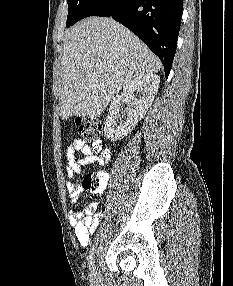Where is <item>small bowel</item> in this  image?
I'll use <instances>...</instances> for the list:
<instances>
[{
    "label": "small bowel",
    "instance_id": "obj_1",
    "mask_svg": "<svg viewBox=\"0 0 233 286\" xmlns=\"http://www.w3.org/2000/svg\"><path fill=\"white\" fill-rule=\"evenodd\" d=\"M110 154L107 149L102 150L99 156H95L91 148L84 139H75L66 151L67 168L66 174L73 178L79 174L84 166L99 163L104 164L109 160ZM66 190L69 194L70 202L75 204L84 192L81 185L68 182ZM104 189L95 192L102 193ZM101 213L98 211V203L90 202L83 210H72L69 213L70 224L74 228L75 236L81 245H87L91 234L96 230Z\"/></svg>",
    "mask_w": 233,
    "mask_h": 286
}]
</instances>
